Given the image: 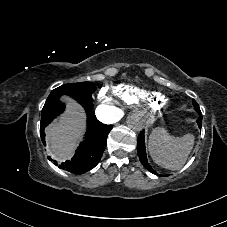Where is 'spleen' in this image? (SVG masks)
Returning <instances> with one entry per match:
<instances>
[{
  "instance_id": "1",
  "label": "spleen",
  "mask_w": 227,
  "mask_h": 227,
  "mask_svg": "<svg viewBox=\"0 0 227 227\" xmlns=\"http://www.w3.org/2000/svg\"><path fill=\"white\" fill-rule=\"evenodd\" d=\"M191 133L172 135L168 128L157 127L150 135L149 152L154 162L170 170L180 169L193 147Z\"/></svg>"
}]
</instances>
